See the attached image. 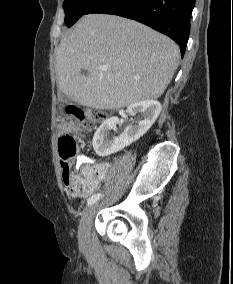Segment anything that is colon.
Masks as SVG:
<instances>
[{"label":"colon","mask_w":233,"mask_h":284,"mask_svg":"<svg viewBox=\"0 0 233 284\" xmlns=\"http://www.w3.org/2000/svg\"><path fill=\"white\" fill-rule=\"evenodd\" d=\"M66 112L74 117L85 130L94 129L106 117V113L102 110L85 108L76 104L67 106ZM76 152V138L69 133L61 136L59 139V154L64 184L72 194L87 195L93 189V179L76 163Z\"/></svg>","instance_id":"colon-1"}]
</instances>
